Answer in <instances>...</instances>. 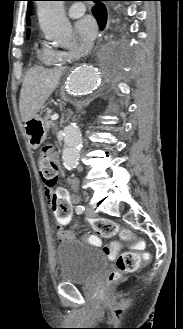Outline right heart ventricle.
I'll return each mask as SVG.
<instances>
[{"instance_id": "right-heart-ventricle-1", "label": "right heart ventricle", "mask_w": 183, "mask_h": 329, "mask_svg": "<svg viewBox=\"0 0 183 329\" xmlns=\"http://www.w3.org/2000/svg\"><path fill=\"white\" fill-rule=\"evenodd\" d=\"M38 59L46 66L54 65L61 61L59 52L50 47L44 46L38 53Z\"/></svg>"}]
</instances>
